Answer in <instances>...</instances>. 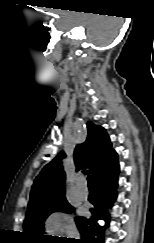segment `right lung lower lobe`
Instances as JSON below:
<instances>
[{
  "mask_svg": "<svg viewBox=\"0 0 154 243\" xmlns=\"http://www.w3.org/2000/svg\"><path fill=\"white\" fill-rule=\"evenodd\" d=\"M119 166H117L109 174L93 181L95 188V197L91 201L93 207L90 209L91 216L89 218L76 217L75 221L81 233L80 240L53 238L50 243H105L102 239L104 230L109 226L108 208L113 206L116 200V188L118 185ZM98 220H105L102 227L98 224ZM97 236V239L94 238Z\"/></svg>",
  "mask_w": 154,
  "mask_h": 243,
  "instance_id": "1",
  "label": "right lung lower lobe"
}]
</instances>
